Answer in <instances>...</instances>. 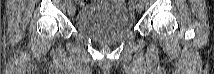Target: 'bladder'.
Returning <instances> with one entry per match:
<instances>
[{"instance_id": "obj_1", "label": "bladder", "mask_w": 214, "mask_h": 74, "mask_svg": "<svg viewBox=\"0 0 214 74\" xmlns=\"http://www.w3.org/2000/svg\"><path fill=\"white\" fill-rule=\"evenodd\" d=\"M75 30L92 41H115L134 28L132 10L120 1H98L85 6L75 18Z\"/></svg>"}]
</instances>
